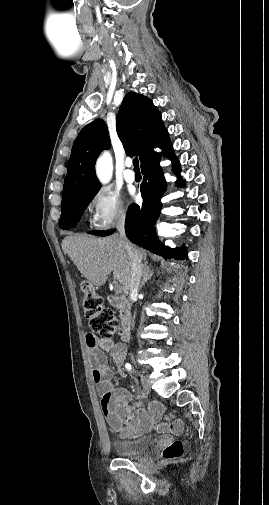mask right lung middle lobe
Listing matches in <instances>:
<instances>
[{"mask_svg": "<svg viewBox=\"0 0 269 505\" xmlns=\"http://www.w3.org/2000/svg\"><path fill=\"white\" fill-rule=\"evenodd\" d=\"M98 190L99 188L83 191L62 202V214L59 227L62 229L74 227L83 214V210L87 207L88 203L96 195ZM112 232L113 231H92L89 233L98 236H106Z\"/></svg>", "mask_w": 269, "mask_h": 505, "instance_id": "dd1d6c3e", "label": "right lung middle lobe"}]
</instances>
